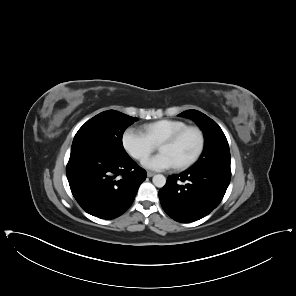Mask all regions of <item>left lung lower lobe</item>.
<instances>
[{"label":"left lung lower lobe","mask_w":296,"mask_h":296,"mask_svg":"<svg viewBox=\"0 0 296 296\" xmlns=\"http://www.w3.org/2000/svg\"><path fill=\"white\" fill-rule=\"evenodd\" d=\"M231 178L230 168H190L169 176L159 198L174 220L189 223L203 218L221 202Z\"/></svg>","instance_id":"0a47b994"}]
</instances>
